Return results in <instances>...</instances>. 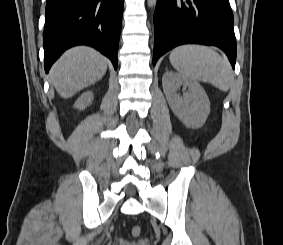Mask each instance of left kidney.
Segmentation results:
<instances>
[{"mask_svg": "<svg viewBox=\"0 0 283 245\" xmlns=\"http://www.w3.org/2000/svg\"><path fill=\"white\" fill-rule=\"evenodd\" d=\"M162 85L170 108L182 123L188 128L202 127L210 113V102L200 84L174 71H167ZM180 86L183 87L182 96L177 94Z\"/></svg>", "mask_w": 283, "mask_h": 245, "instance_id": "left-kidney-1", "label": "left kidney"}]
</instances>
